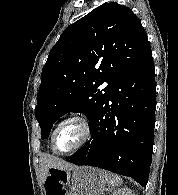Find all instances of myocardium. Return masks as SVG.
<instances>
[{
	"instance_id": "obj_1",
	"label": "myocardium",
	"mask_w": 178,
	"mask_h": 195,
	"mask_svg": "<svg viewBox=\"0 0 178 195\" xmlns=\"http://www.w3.org/2000/svg\"><path fill=\"white\" fill-rule=\"evenodd\" d=\"M75 122L77 123L79 126H81L82 130H83V135L81 140L78 142V144H76L74 147L67 149V150H57L55 147V141H56V136L58 131L66 124L68 123H72ZM91 133H92V129H91V125L89 123V121L87 120L86 117L82 116V115H73L70 116L66 119H64L63 121H61L57 127L54 129L52 136H51V148L52 150L57 153V154H68V153H72L75 152L77 150H79L80 148H82L90 139L91 137Z\"/></svg>"
}]
</instances>
